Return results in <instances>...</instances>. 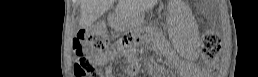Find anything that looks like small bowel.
<instances>
[{"mask_svg": "<svg viewBox=\"0 0 258 77\" xmlns=\"http://www.w3.org/2000/svg\"><path fill=\"white\" fill-rule=\"evenodd\" d=\"M114 51L111 52L113 54ZM91 58L98 64V65H103L105 63L104 56L98 52H90Z\"/></svg>", "mask_w": 258, "mask_h": 77, "instance_id": "obj_1", "label": "small bowel"}]
</instances>
